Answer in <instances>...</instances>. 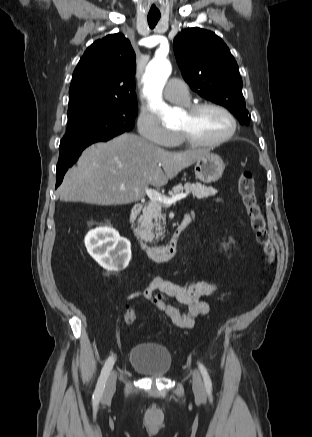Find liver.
<instances>
[{"instance_id":"6515ba94","label":"liver","mask_w":312,"mask_h":437,"mask_svg":"<svg viewBox=\"0 0 312 437\" xmlns=\"http://www.w3.org/2000/svg\"><path fill=\"white\" fill-rule=\"evenodd\" d=\"M208 150H165L135 134L124 133L86 148L65 174L61 201L102 206L139 201L149 185L162 187ZM124 186L125 189H121Z\"/></svg>"}]
</instances>
